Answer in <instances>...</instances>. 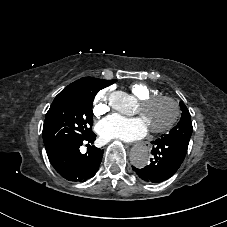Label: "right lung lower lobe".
Returning <instances> with one entry per match:
<instances>
[{"mask_svg": "<svg viewBox=\"0 0 227 227\" xmlns=\"http://www.w3.org/2000/svg\"><path fill=\"white\" fill-rule=\"evenodd\" d=\"M95 138L91 131L80 139L69 140L46 150L50 163L62 177L71 181H86L96 174L104 151L92 146L82 154L79 147L84 143L93 144Z\"/></svg>", "mask_w": 227, "mask_h": 227, "instance_id": "98d812e1", "label": "right lung lower lobe"}]
</instances>
